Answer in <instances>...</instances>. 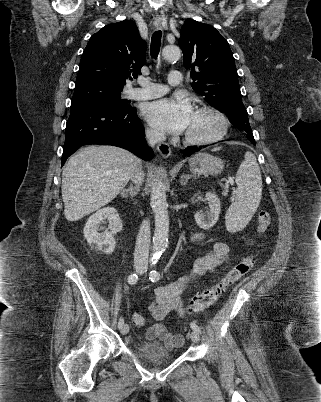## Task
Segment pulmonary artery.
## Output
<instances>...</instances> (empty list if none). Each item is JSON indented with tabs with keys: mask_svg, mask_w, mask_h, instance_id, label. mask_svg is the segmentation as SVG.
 <instances>
[{
	"mask_svg": "<svg viewBox=\"0 0 321 402\" xmlns=\"http://www.w3.org/2000/svg\"><path fill=\"white\" fill-rule=\"evenodd\" d=\"M182 82V74L179 71H172L168 76V83L171 86H178ZM140 88H135L130 92V97L135 100H148L160 97L167 93L166 85L151 82L149 79L141 78L138 81Z\"/></svg>",
	"mask_w": 321,
	"mask_h": 402,
	"instance_id": "obj_1",
	"label": "pulmonary artery"
}]
</instances>
